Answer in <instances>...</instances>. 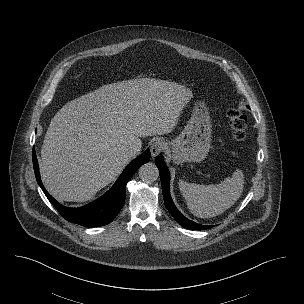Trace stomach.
I'll list each match as a JSON object with an SVG mask.
<instances>
[{
  "label": "stomach",
  "mask_w": 304,
  "mask_h": 304,
  "mask_svg": "<svg viewBox=\"0 0 304 304\" xmlns=\"http://www.w3.org/2000/svg\"><path fill=\"white\" fill-rule=\"evenodd\" d=\"M211 133L209 109L204 102H199L184 130L170 143L173 161L179 164L204 160L210 149Z\"/></svg>",
  "instance_id": "0dacf381"
}]
</instances>
